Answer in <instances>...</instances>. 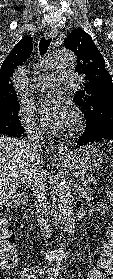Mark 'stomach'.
I'll return each instance as SVG.
<instances>
[{"instance_id": "0dacf381", "label": "stomach", "mask_w": 113, "mask_h": 279, "mask_svg": "<svg viewBox=\"0 0 113 279\" xmlns=\"http://www.w3.org/2000/svg\"><path fill=\"white\" fill-rule=\"evenodd\" d=\"M64 164L79 171H91L98 168L102 162V153L95 144H85L64 157Z\"/></svg>"}]
</instances>
